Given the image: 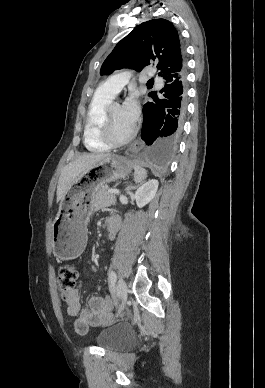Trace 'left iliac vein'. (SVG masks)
Wrapping results in <instances>:
<instances>
[{
	"mask_svg": "<svg viewBox=\"0 0 265 388\" xmlns=\"http://www.w3.org/2000/svg\"><path fill=\"white\" fill-rule=\"evenodd\" d=\"M117 288H118V293H119V296L121 299V306H120V310L118 313L120 315L125 307V304H126V300H127V296H128V289H127V285L123 279L118 280Z\"/></svg>",
	"mask_w": 265,
	"mask_h": 388,
	"instance_id": "left-iliac-vein-1",
	"label": "left iliac vein"
}]
</instances>
